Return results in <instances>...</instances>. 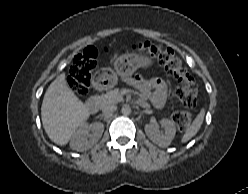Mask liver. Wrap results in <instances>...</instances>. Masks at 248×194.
<instances>
[{
  "instance_id": "6515ba94",
  "label": "liver",
  "mask_w": 248,
  "mask_h": 194,
  "mask_svg": "<svg viewBox=\"0 0 248 194\" xmlns=\"http://www.w3.org/2000/svg\"><path fill=\"white\" fill-rule=\"evenodd\" d=\"M90 116L86 105L68 88L62 73L50 84L43 98L41 119L48 137L64 146Z\"/></svg>"
}]
</instances>
